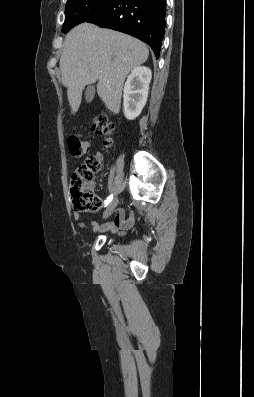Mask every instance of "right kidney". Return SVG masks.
<instances>
[{"label": "right kidney", "instance_id": "ca27d5eb", "mask_svg": "<svg viewBox=\"0 0 254 397\" xmlns=\"http://www.w3.org/2000/svg\"><path fill=\"white\" fill-rule=\"evenodd\" d=\"M151 78V70L144 66L134 68L128 76L123 95L124 115L128 120L140 115L147 101Z\"/></svg>", "mask_w": 254, "mask_h": 397}]
</instances>
